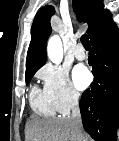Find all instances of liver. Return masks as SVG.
<instances>
[{"label":"liver","instance_id":"1","mask_svg":"<svg viewBox=\"0 0 119 141\" xmlns=\"http://www.w3.org/2000/svg\"><path fill=\"white\" fill-rule=\"evenodd\" d=\"M27 141H88L86 133L79 136L70 118L32 117L26 124Z\"/></svg>","mask_w":119,"mask_h":141}]
</instances>
